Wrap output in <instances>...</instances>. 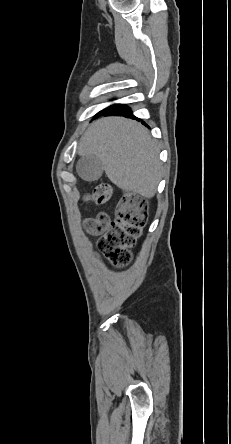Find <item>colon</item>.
Instances as JSON below:
<instances>
[{
    "instance_id": "5ec220e1",
    "label": "colon",
    "mask_w": 231,
    "mask_h": 444,
    "mask_svg": "<svg viewBox=\"0 0 231 444\" xmlns=\"http://www.w3.org/2000/svg\"><path fill=\"white\" fill-rule=\"evenodd\" d=\"M112 194L109 185L97 186L88 196L96 204L107 202ZM148 216V205L144 198L126 194L121 199L116 217L111 221L107 214L99 213L84 222L85 230L91 235H99V248L113 264L123 266L131 259V248L141 235Z\"/></svg>"
}]
</instances>
